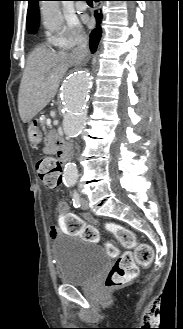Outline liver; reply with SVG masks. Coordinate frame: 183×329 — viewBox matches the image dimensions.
Wrapping results in <instances>:
<instances>
[{
  "label": "liver",
  "instance_id": "1",
  "mask_svg": "<svg viewBox=\"0 0 183 329\" xmlns=\"http://www.w3.org/2000/svg\"><path fill=\"white\" fill-rule=\"evenodd\" d=\"M73 62L74 55L59 57L45 47L30 54L18 95L19 114L24 123L31 121L55 96L68 63Z\"/></svg>",
  "mask_w": 183,
  "mask_h": 329
}]
</instances>
